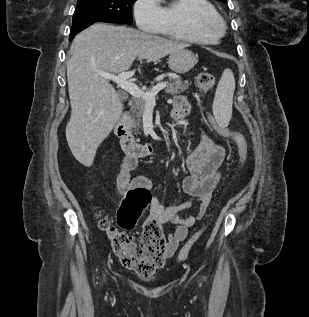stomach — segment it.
<instances>
[{
    "instance_id": "stomach-1",
    "label": "stomach",
    "mask_w": 309,
    "mask_h": 317,
    "mask_svg": "<svg viewBox=\"0 0 309 317\" xmlns=\"http://www.w3.org/2000/svg\"><path fill=\"white\" fill-rule=\"evenodd\" d=\"M198 62L197 56L188 49H181L170 54L168 58L169 68L179 74L189 72Z\"/></svg>"
}]
</instances>
